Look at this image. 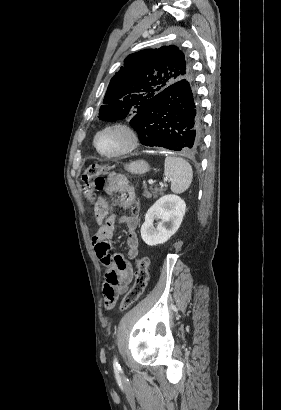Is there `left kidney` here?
<instances>
[{
  "label": "left kidney",
  "mask_w": 281,
  "mask_h": 410,
  "mask_svg": "<svg viewBox=\"0 0 281 410\" xmlns=\"http://www.w3.org/2000/svg\"><path fill=\"white\" fill-rule=\"evenodd\" d=\"M186 204L179 196L168 194L159 198L147 211L141 237L149 246L163 244L179 229ZM154 220H160L155 228Z\"/></svg>",
  "instance_id": "left-kidney-1"
}]
</instances>
